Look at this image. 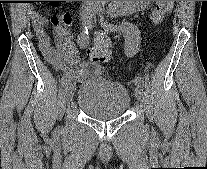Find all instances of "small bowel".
<instances>
[{"label": "small bowel", "mask_w": 207, "mask_h": 169, "mask_svg": "<svg viewBox=\"0 0 207 169\" xmlns=\"http://www.w3.org/2000/svg\"><path fill=\"white\" fill-rule=\"evenodd\" d=\"M148 3L149 1H116L111 6V12L113 14L134 12L144 8ZM29 16L32 20L39 48L46 61L72 78L87 79L101 72L102 67L99 63L82 62L77 55L70 29L71 15L57 12L51 17L54 43L46 31L49 20L33 9L30 10Z\"/></svg>", "instance_id": "small-bowel-1"}]
</instances>
